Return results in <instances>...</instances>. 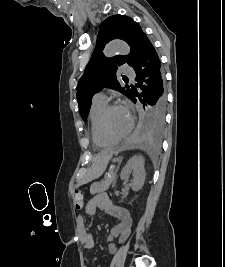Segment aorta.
<instances>
[{"label":"aorta","mask_w":225,"mask_h":267,"mask_svg":"<svg viewBox=\"0 0 225 267\" xmlns=\"http://www.w3.org/2000/svg\"><path fill=\"white\" fill-rule=\"evenodd\" d=\"M130 52V47L123 41H116L108 44L104 49L106 56H113L114 54L127 55Z\"/></svg>","instance_id":"aorta-1"}]
</instances>
